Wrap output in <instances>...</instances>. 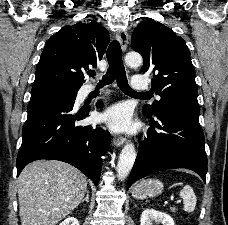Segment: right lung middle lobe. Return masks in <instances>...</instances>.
Listing matches in <instances>:
<instances>
[{"label": "right lung middle lobe", "mask_w": 228, "mask_h": 225, "mask_svg": "<svg viewBox=\"0 0 228 225\" xmlns=\"http://www.w3.org/2000/svg\"><path fill=\"white\" fill-rule=\"evenodd\" d=\"M79 88H70L59 84H49L33 87L30 103L56 97L76 98Z\"/></svg>", "instance_id": "right-lung-middle-lobe-1"}]
</instances>
